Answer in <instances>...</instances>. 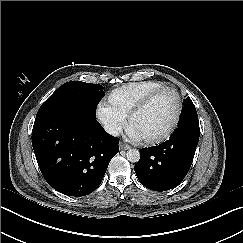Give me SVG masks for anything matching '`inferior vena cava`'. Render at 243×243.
Listing matches in <instances>:
<instances>
[{
    "label": "inferior vena cava",
    "mask_w": 243,
    "mask_h": 243,
    "mask_svg": "<svg viewBox=\"0 0 243 243\" xmlns=\"http://www.w3.org/2000/svg\"><path fill=\"white\" fill-rule=\"evenodd\" d=\"M105 131L112 136H119L121 127L116 124H108L104 126Z\"/></svg>",
    "instance_id": "obj_1"
}]
</instances>
